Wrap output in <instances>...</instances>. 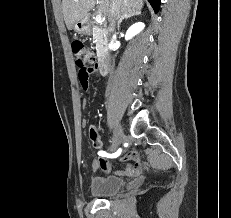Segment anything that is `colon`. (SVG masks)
Listing matches in <instances>:
<instances>
[{
    "label": "colon",
    "instance_id": "obj_1",
    "mask_svg": "<svg viewBox=\"0 0 231 218\" xmlns=\"http://www.w3.org/2000/svg\"><path fill=\"white\" fill-rule=\"evenodd\" d=\"M71 48L78 69H84L85 66H92L96 63L95 53L87 48L83 42L73 41Z\"/></svg>",
    "mask_w": 231,
    "mask_h": 218
}]
</instances>
